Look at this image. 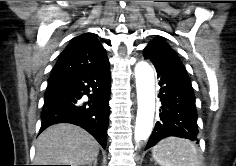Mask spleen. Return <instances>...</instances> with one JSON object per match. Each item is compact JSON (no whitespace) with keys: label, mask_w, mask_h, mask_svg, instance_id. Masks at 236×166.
Instances as JSON below:
<instances>
[{"label":"spleen","mask_w":236,"mask_h":166,"mask_svg":"<svg viewBox=\"0 0 236 166\" xmlns=\"http://www.w3.org/2000/svg\"><path fill=\"white\" fill-rule=\"evenodd\" d=\"M152 154L161 166H199L196 147L182 138L163 139L153 148Z\"/></svg>","instance_id":"3e777b00"}]
</instances>
